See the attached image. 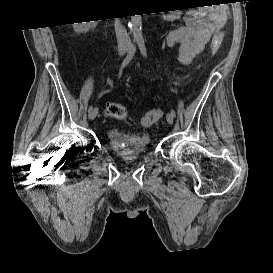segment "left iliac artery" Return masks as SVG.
I'll return each instance as SVG.
<instances>
[{"label": "left iliac artery", "mask_w": 273, "mask_h": 273, "mask_svg": "<svg viewBox=\"0 0 273 273\" xmlns=\"http://www.w3.org/2000/svg\"><path fill=\"white\" fill-rule=\"evenodd\" d=\"M138 45H139V49H140L142 55L146 58L147 52H146V47H145L144 41H139ZM171 114L173 117L176 116L175 111L173 109H171Z\"/></svg>", "instance_id": "44dca946"}]
</instances>
